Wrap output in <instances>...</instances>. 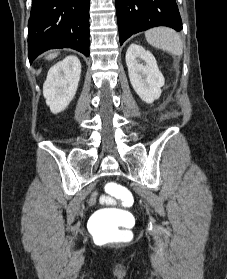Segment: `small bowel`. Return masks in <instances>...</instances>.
Segmentation results:
<instances>
[{"instance_id": "obj_1", "label": "small bowel", "mask_w": 227, "mask_h": 279, "mask_svg": "<svg viewBox=\"0 0 227 279\" xmlns=\"http://www.w3.org/2000/svg\"><path fill=\"white\" fill-rule=\"evenodd\" d=\"M94 197H95V195H94ZM104 199L108 202H111V199L109 197H105ZM90 203L91 204L94 203V199H91Z\"/></svg>"}]
</instances>
